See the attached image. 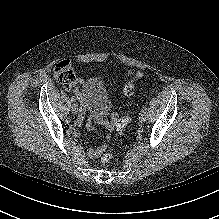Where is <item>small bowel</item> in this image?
I'll return each mask as SVG.
<instances>
[{"label": "small bowel", "instance_id": "obj_1", "mask_svg": "<svg viewBox=\"0 0 219 219\" xmlns=\"http://www.w3.org/2000/svg\"><path fill=\"white\" fill-rule=\"evenodd\" d=\"M73 88H74V86H72V85L68 86V89H69V90H71V89H73ZM75 92H76V96H77V98H78L79 100H80V99H83L82 96H81L80 94H78L76 90H75ZM88 127H89L91 130L94 129V127H93L92 124H89ZM103 149H104V146H100V147L94 148V149H89V150H88V155H89V157H91V158H97L98 156H100V154L102 153Z\"/></svg>", "mask_w": 219, "mask_h": 219}]
</instances>
